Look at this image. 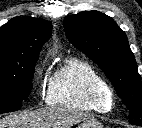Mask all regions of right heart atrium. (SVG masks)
Returning a JSON list of instances; mask_svg holds the SVG:
<instances>
[{
    "instance_id": "right-heart-atrium-1",
    "label": "right heart atrium",
    "mask_w": 142,
    "mask_h": 128,
    "mask_svg": "<svg viewBox=\"0 0 142 128\" xmlns=\"http://www.w3.org/2000/svg\"><path fill=\"white\" fill-rule=\"evenodd\" d=\"M37 77L39 79V83H40L42 89L43 90H48L46 88V79H45V77L43 75V70L42 69L40 71H38Z\"/></svg>"
}]
</instances>
